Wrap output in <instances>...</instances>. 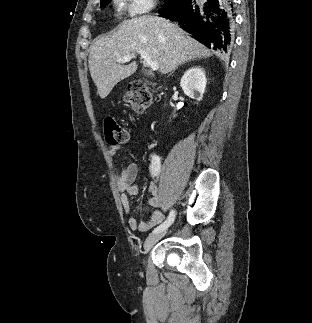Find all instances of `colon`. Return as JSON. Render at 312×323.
Instances as JSON below:
<instances>
[{"label":"colon","mask_w":312,"mask_h":323,"mask_svg":"<svg viewBox=\"0 0 312 323\" xmlns=\"http://www.w3.org/2000/svg\"><path fill=\"white\" fill-rule=\"evenodd\" d=\"M153 99V95L146 85L140 80L130 82L129 91L123 97L124 103L129 109L139 111L146 108ZM104 138L110 146H120L126 143L128 130L115 119L107 118L103 123Z\"/></svg>","instance_id":"colon-1"}]
</instances>
